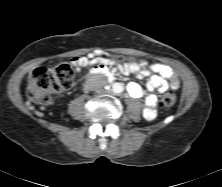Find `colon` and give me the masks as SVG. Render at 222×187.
<instances>
[{
	"instance_id": "1",
	"label": "colon",
	"mask_w": 222,
	"mask_h": 187,
	"mask_svg": "<svg viewBox=\"0 0 222 187\" xmlns=\"http://www.w3.org/2000/svg\"><path fill=\"white\" fill-rule=\"evenodd\" d=\"M118 59L127 63H141L135 58L119 56ZM73 77L72 68L66 64L56 67L37 66L29 75L27 97L39 105H47L51 103L55 94L71 87ZM160 102L162 107L171 108L176 102V96L172 92H166L161 96Z\"/></svg>"
}]
</instances>
